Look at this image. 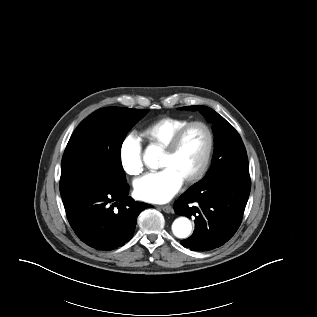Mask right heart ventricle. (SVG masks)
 I'll return each instance as SVG.
<instances>
[{
	"instance_id": "1",
	"label": "right heart ventricle",
	"mask_w": 317,
	"mask_h": 317,
	"mask_svg": "<svg viewBox=\"0 0 317 317\" xmlns=\"http://www.w3.org/2000/svg\"><path fill=\"white\" fill-rule=\"evenodd\" d=\"M189 122L181 117H162L145 126L141 137L150 145L164 149L174 134Z\"/></svg>"
}]
</instances>
